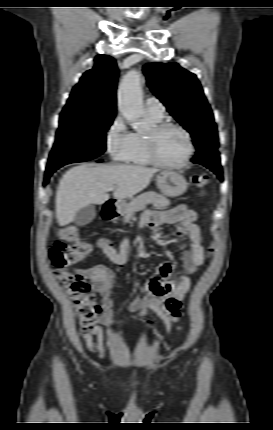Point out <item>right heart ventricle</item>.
Here are the masks:
<instances>
[{
    "label": "right heart ventricle",
    "mask_w": 273,
    "mask_h": 430,
    "mask_svg": "<svg viewBox=\"0 0 273 430\" xmlns=\"http://www.w3.org/2000/svg\"><path fill=\"white\" fill-rule=\"evenodd\" d=\"M147 116L153 124L161 122L163 119V116H157L150 112H147ZM134 141V148L127 162L140 167L151 165L152 162L148 154L146 134L141 132L134 133Z\"/></svg>",
    "instance_id": "1"
}]
</instances>
